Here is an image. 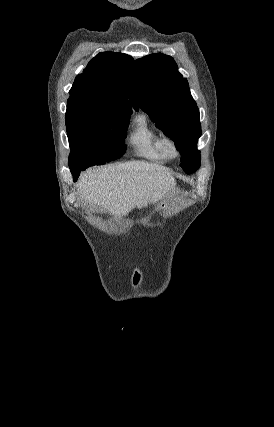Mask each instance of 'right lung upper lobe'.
Wrapping results in <instances>:
<instances>
[{"mask_svg": "<svg viewBox=\"0 0 274 427\" xmlns=\"http://www.w3.org/2000/svg\"><path fill=\"white\" fill-rule=\"evenodd\" d=\"M134 60L114 52L99 53L79 74L69 92L67 110L82 107L118 106L131 109L127 79Z\"/></svg>", "mask_w": 274, "mask_h": 427, "instance_id": "cb5924a9", "label": "right lung upper lobe"}]
</instances>
